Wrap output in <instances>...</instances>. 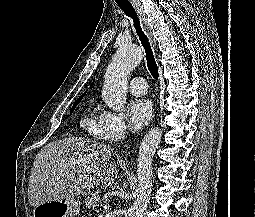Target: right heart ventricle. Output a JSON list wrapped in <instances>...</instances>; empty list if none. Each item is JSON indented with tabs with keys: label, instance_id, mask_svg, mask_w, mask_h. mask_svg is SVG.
<instances>
[{
	"label": "right heart ventricle",
	"instance_id": "e07e8e85",
	"mask_svg": "<svg viewBox=\"0 0 255 217\" xmlns=\"http://www.w3.org/2000/svg\"><path fill=\"white\" fill-rule=\"evenodd\" d=\"M97 122L98 116L96 115V111L92 110L82 120V127L92 136L100 137L97 133Z\"/></svg>",
	"mask_w": 255,
	"mask_h": 217
}]
</instances>
